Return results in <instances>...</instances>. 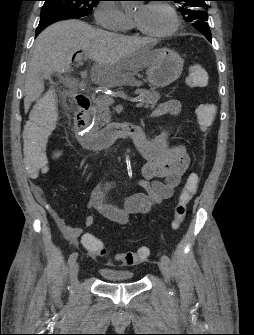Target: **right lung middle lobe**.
I'll use <instances>...</instances> for the list:
<instances>
[{
  "instance_id": "1",
  "label": "right lung middle lobe",
  "mask_w": 254,
  "mask_h": 335,
  "mask_svg": "<svg viewBox=\"0 0 254 335\" xmlns=\"http://www.w3.org/2000/svg\"><path fill=\"white\" fill-rule=\"evenodd\" d=\"M41 17L51 14H64L72 18L88 15L100 0H43Z\"/></svg>"
}]
</instances>
